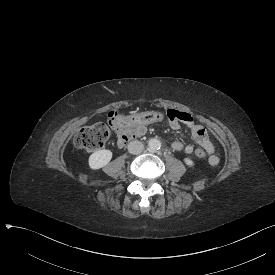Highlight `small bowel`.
Masks as SVG:
<instances>
[{
  "instance_id": "1",
  "label": "small bowel",
  "mask_w": 275,
  "mask_h": 275,
  "mask_svg": "<svg viewBox=\"0 0 275 275\" xmlns=\"http://www.w3.org/2000/svg\"><path fill=\"white\" fill-rule=\"evenodd\" d=\"M169 114L170 128L172 130H178L181 124H184L188 129H190L192 136L198 145L210 155L209 163L211 165H216L218 163V158L214 154V146L209 139L205 128L196 124L193 117L187 112L170 110ZM115 132L119 140L125 142L131 137L137 138L143 136L146 132V127L144 123H133L124 128H116ZM171 148L176 151L184 150L188 154L193 152V146L191 144L185 145L182 141L179 140L173 141L171 143Z\"/></svg>"
}]
</instances>
